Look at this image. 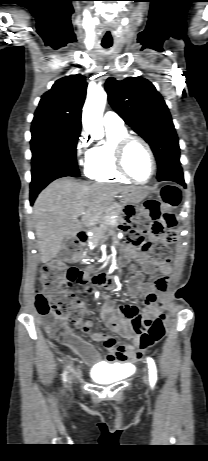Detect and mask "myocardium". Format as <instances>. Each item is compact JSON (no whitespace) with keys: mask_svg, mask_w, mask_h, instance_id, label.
Wrapping results in <instances>:
<instances>
[{"mask_svg":"<svg viewBox=\"0 0 208 461\" xmlns=\"http://www.w3.org/2000/svg\"><path fill=\"white\" fill-rule=\"evenodd\" d=\"M134 142L140 143L146 149V151H147V153L149 155L150 161H151V173H150L149 177L144 181H141V180H138L137 178H135L129 172V170L127 169V166H126L127 150L129 148V146ZM114 154H115V164H116V167H117L118 171L123 176L127 177L129 180H132L133 182L138 183V184H146V183L150 182L152 180V178L154 177V175L156 173V169H157L155 155H154V152H153L151 146L149 145V143L145 139H143L142 137H139V136H136V135H126V136H124L123 138H121L116 143L115 148H114Z\"/></svg>","mask_w":208,"mask_h":461,"instance_id":"myocardium-1","label":"myocardium"}]
</instances>
